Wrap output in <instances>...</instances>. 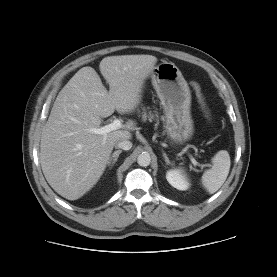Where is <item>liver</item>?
<instances>
[{"label":"liver","instance_id":"liver-1","mask_svg":"<svg viewBox=\"0 0 277 277\" xmlns=\"http://www.w3.org/2000/svg\"><path fill=\"white\" fill-rule=\"evenodd\" d=\"M156 63L152 55L108 56L99 69L109 91L95 69L88 66L62 88L42 129L39 154L43 174L55 192L77 200L98 182L116 142L131 138L134 123L129 120L121 130L105 135L89 129L99 128L102 118L115 110L132 112Z\"/></svg>","mask_w":277,"mask_h":277}]
</instances>
